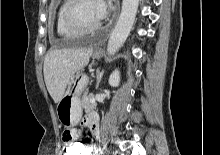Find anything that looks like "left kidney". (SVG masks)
Returning <instances> with one entry per match:
<instances>
[{
  "mask_svg": "<svg viewBox=\"0 0 220 155\" xmlns=\"http://www.w3.org/2000/svg\"><path fill=\"white\" fill-rule=\"evenodd\" d=\"M120 82V72L118 70H115L109 77V85L112 87L118 86Z\"/></svg>",
  "mask_w": 220,
  "mask_h": 155,
  "instance_id": "left-kidney-1",
  "label": "left kidney"
}]
</instances>
